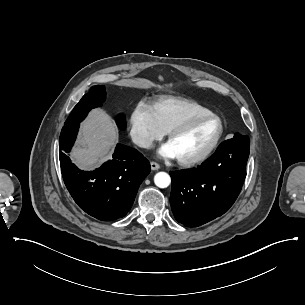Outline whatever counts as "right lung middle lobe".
I'll return each mask as SVG.
<instances>
[{
    "instance_id": "1",
    "label": "right lung middle lobe",
    "mask_w": 305,
    "mask_h": 305,
    "mask_svg": "<svg viewBox=\"0 0 305 305\" xmlns=\"http://www.w3.org/2000/svg\"><path fill=\"white\" fill-rule=\"evenodd\" d=\"M106 92L104 86H93L87 94L77 103L70 116L66 120L64 126L80 123L88 114V112L96 107L102 105L105 101ZM117 124L120 128L124 129L126 125L125 116L118 115Z\"/></svg>"
}]
</instances>
